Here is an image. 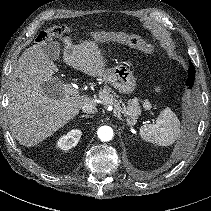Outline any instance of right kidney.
<instances>
[{"label": "right kidney", "instance_id": "right-kidney-1", "mask_svg": "<svg viewBox=\"0 0 211 211\" xmlns=\"http://www.w3.org/2000/svg\"><path fill=\"white\" fill-rule=\"evenodd\" d=\"M81 135L82 132L80 130H71L57 140L56 146L62 150H69L78 144Z\"/></svg>", "mask_w": 211, "mask_h": 211}]
</instances>
